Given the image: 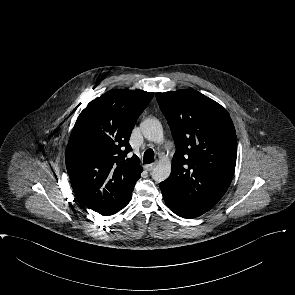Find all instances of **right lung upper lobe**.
Instances as JSON below:
<instances>
[{
  "instance_id": "obj_1",
  "label": "right lung upper lobe",
  "mask_w": 295,
  "mask_h": 295,
  "mask_svg": "<svg viewBox=\"0 0 295 295\" xmlns=\"http://www.w3.org/2000/svg\"><path fill=\"white\" fill-rule=\"evenodd\" d=\"M153 93L110 90L80 113L66 148V167L76 197L88 208L110 215L131 197L142 167L129 138Z\"/></svg>"
}]
</instances>
